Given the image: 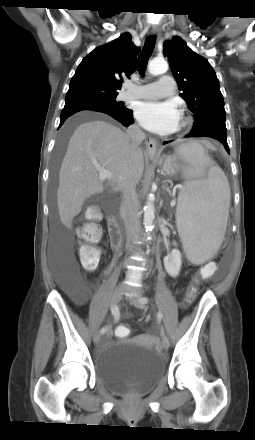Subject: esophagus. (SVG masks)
<instances>
[{"instance_id":"1","label":"esophagus","mask_w":255,"mask_h":440,"mask_svg":"<svg viewBox=\"0 0 255 440\" xmlns=\"http://www.w3.org/2000/svg\"><path fill=\"white\" fill-rule=\"evenodd\" d=\"M160 32H161V28L159 25H154L152 27V31H151L152 35L159 36ZM145 148H146V152L150 156L158 155V144L154 139H148L146 141Z\"/></svg>"}]
</instances>
